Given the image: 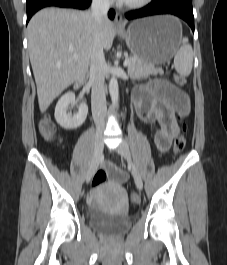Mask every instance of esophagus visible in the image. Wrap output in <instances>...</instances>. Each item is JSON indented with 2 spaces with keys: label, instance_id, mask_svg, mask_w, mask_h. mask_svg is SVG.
<instances>
[{
  "label": "esophagus",
  "instance_id": "esophagus-1",
  "mask_svg": "<svg viewBox=\"0 0 227 265\" xmlns=\"http://www.w3.org/2000/svg\"><path fill=\"white\" fill-rule=\"evenodd\" d=\"M114 26L117 29H124L125 28V23L123 22V19H122V16L120 13H116V15H115Z\"/></svg>",
  "mask_w": 227,
  "mask_h": 265
}]
</instances>
